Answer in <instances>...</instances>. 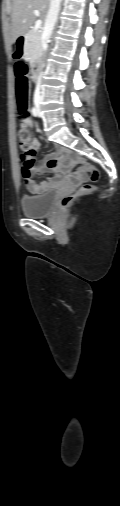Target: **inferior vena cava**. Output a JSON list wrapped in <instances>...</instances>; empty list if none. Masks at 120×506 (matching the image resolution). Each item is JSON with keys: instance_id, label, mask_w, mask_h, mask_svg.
Masks as SVG:
<instances>
[{"instance_id": "inferior-vena-cava-1", "label": "inferior vena cava", "mask_w": 120, "mask_h": 506, "mask_svg": "<svg viewBox=\"0 0 120 506\" xmlns=\"http://www.w3.org/2000/svg\"><path fill=\"white\" fill-rule=\"evenodd\" d=\"M60 5H61V0H50L49 10H48L47 16L45 18V23H44V27H43L42 46H43L44 51H47L48 41L52 35L55 23L57 21L58 13L60 11ZM40 79L41 78L39 77L38 83H37V86H36V89L34 92V101L35 102H39L41 99Z\"/></svg>"}]
</instances>
